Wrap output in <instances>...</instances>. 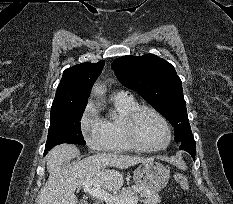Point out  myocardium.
<instances>
[{
    "label": "myocardium",
    "instance_id": "obj_1",
    "mask_svg": "<svg viewBox=\"0 0 233 204\" xmlns=\"http://www.w3.org/2000/svg\"><path fill=\"white\" fill-rule=\"evenodd\" d=\"M144 112H150V113L154 114L155 116H157L160 119V121L164 125V127L166 129L167 137H166V141L164 142L163 145L156 147V148H148V147L143 146L140 143L138 135H137L136 124H137V120H138L139 116ZM124 130H125V135H126V138L129 142L130 146L134 150L144 152V153H155V152L162 151L169 146L171 139H172L171 127H170L169 122L167 121L166 117L157 109H155L153 107H149V106H138L137 108L132 110L125 118Z\"/></svg>",
    "mask_w": 233,
    "mask_h": 204
}]
</instances>
